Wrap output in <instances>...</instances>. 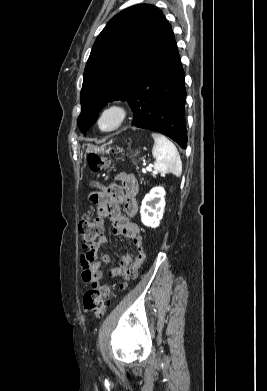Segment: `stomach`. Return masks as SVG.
<instances>
[{"mask_svg":"<svg viewBox=\"0 0 267 391\" xmlns=\"http://www.w3.org/2000/svg\"><path fill=\"white\" fill-rule=\"evenodd\" d=\"M91 150H95L96 152L98 151H103V150H100L99 148H97V147H88L87 148V150H86V152L88 153V152H90Z\"/></svg>","mask_w":267,"mask_h":391,"instance_id":"stomach-1","label":"stomach"}]
</instances>
